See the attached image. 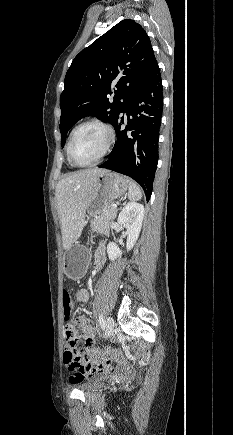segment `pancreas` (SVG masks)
Masks as SVG:
<instances>
[{"mask_svg": "<svg viewBox=\"0 0 233 435\" xmlns=\"http://www.w3.org/2000/svg\"><path fill=\"white\" fill-rule=\"evenodd\" d=\"M117 215V209L112 204L105 206L100 216L94 217L91 221V229L100 234H106L109 231V223Z\"/></svg>", "mask_w": 233, "mask_h": 435, "instance_id": "pancreas-1", "label": "pancreas"}]
</instances>
